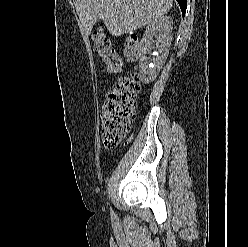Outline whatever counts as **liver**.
I'll use <instances>...</instances> for the list:
<instances>
[{
    "mask_svg": "<svg viewBox=\"0 0 248 247\" xmlns=\"http://www.w3.org/2000/svg\"><path fill=\"white\" fill-rule=\"evenodd\" d=\"M82 32L89 35L102 19L113 36H120L150 24L167 14L173 0H75Z\"/></svg>",
    "mask_w": 248,
    "mask_h": 247,
    "instance_id": "6515ba94",
    "label": "liver"
}]
</instances>
